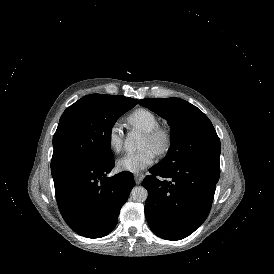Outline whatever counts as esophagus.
I'll return each instance as SVG.
<instances>
[{
	"label": "esophagus",
	"mask_w": 274,
	"mask_h": 274,
	"mask_svg": "<svg viewBox=\"0 0 274 274\" xmlns=\"http://www.w3.org/2000/svg\"><path fill=\"white\" fill-rule=\"evenodd\" d=\"M135 183L140 184L142 180L144 179V174L138 173L134 175Z\"/></svg>",
	"instance_id": "obj_1"
}]
</instances>
